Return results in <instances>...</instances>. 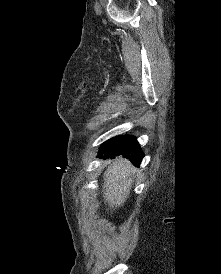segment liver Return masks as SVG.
<instances>
[{
  "instance_id": "1",
  "label": "liver",
  "mask_w": 221,
  "mask_h": 274,
  "mask_svg": "<svg viewBox=\"0 0 221 274\" xmlns=\"http://www.w3.org/2000/svg\"><path fill=\"white\" fill-rule=\"evenodd\" d=\"M132 164L124 158H116L104 174L103 191L110 209L119 208L130 195L133 180Z\"/></svg>"
}]
</instances>
